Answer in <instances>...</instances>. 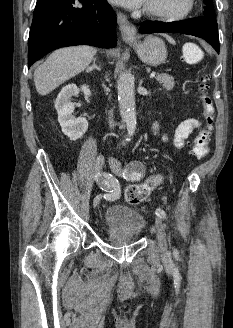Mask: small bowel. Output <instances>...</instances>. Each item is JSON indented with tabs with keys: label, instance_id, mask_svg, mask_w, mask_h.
<instances>
[{
	"label": "small bowel",
	"instance_id": "obj_1",
	"mask_svg": "<svg viewBox=\"0 0 233 328\" xmlns=\"http://www.w3.org/2000/svg\"><path fill=\"white\" fill-rule=\"evenodd\" d=\"M201 126L199 120L195 118H187L181 121L176 127L173 136L172 143L176 148H182L185 145L187 138L191 135V133L198 129ZM159 130V123L156 122L153 125V131L156 133ZM162 139L165 142L170 140L167 134H163Z\"/></svg>",
	"mask_w": 233,
	"mask_h": 328
}]
</instances>
